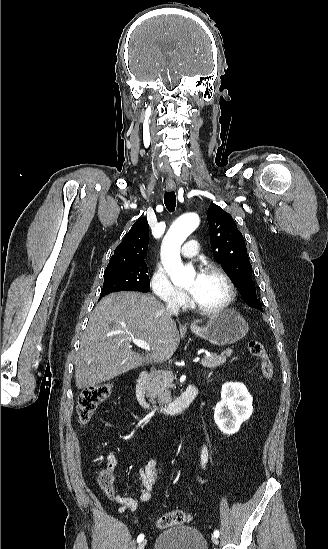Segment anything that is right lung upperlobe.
I'll return each mask as SVG.
<instances>
[{"label": "right lung upper lobe", "instance_id": "1", "mask_svg": "<svg viewBox=\"0 0 328 549\" xmlns=\"http://www.w3.org/2000/svg\"><path fill=\"white\" fill-rule=\"evenodd\" d=\"M147 218H139L115 249L105 271L144 261L148 247Z\"/></svg>", "mask_w": 328, "mask_h": 549}]
</instances>
